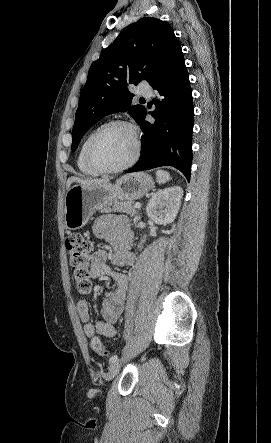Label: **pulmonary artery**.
Masks as SVG:
<instances>
[{
  "label": "pulmonary artery",
  "instance_id": "pulmonary-artery-1",
  "mask_svg": "<svg viewBox=\"0 0 271 443\" xmlns=\"http://www.w3.org/2000/svg\"><path fill=\"white\" fill-rule=\"evenodd\" d=\"M141 94L145 97H151L153 95V91L152 90L142 91Z\"/></svg>",
  "mask_w": 271,
  "mask_h": 443
}]
</instances>
